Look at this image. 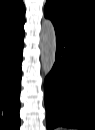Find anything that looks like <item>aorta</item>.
Instances as JSON below:
<instances>
[{
  "instance_id": "obj_1",
  "label": "aorta",
  "mask_w": 95,
  "mask_h": 130,
  "mask_svg": "<svg viewBox=\"0 0 95 130\" xmlns=\"http://www.w3.org/2000/svg\"><path fill=\"white\" fill-rule=\"evenodd\" d=\"M40 51L42 71L47 75L52 70L56 58V34L53 23L49 19L42 21Z\"/></svg>"
}]
</instances>
